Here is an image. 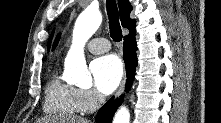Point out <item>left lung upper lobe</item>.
<instances>
[{"mask_svg":"<svg viewBox=\"0 0 221 123\" xmlns=\"http://www.w3.org/2000/svg\"><path fill=\"white\" fill-rule=\"evenodd\" d=\"M60 35L57 36L55 43H54V47L57 45L58 41H59Z\"/></svg>","mask_w":221,"mask_h":123,"instance_id":"1","label":"left lung upper lobe"}]
</instances>
